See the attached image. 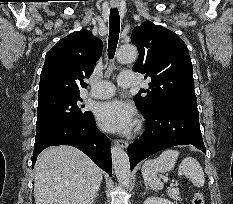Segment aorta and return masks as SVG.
Masks as SVG:
<instances>
[{
  "instance_id": "1",
  "label": "aorta",
  "mask_w": 233,
  "mask_h": 204,
  "mask_svg": "<svg viewBox=\"0 0 233 204\" xmlns=\"http://www.w3.org/2000/svg\"><path fill=\"white\" fill-rule=\"evenodd\" d=\"M138 57L137 48L133 45H123L117 52V60L120 63H132ZM112 162L117 180L120 185L127 186L130 181V163L127 153L118 146L111 149Z\"/></svg>"
}]
</instances>
